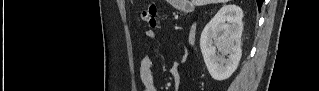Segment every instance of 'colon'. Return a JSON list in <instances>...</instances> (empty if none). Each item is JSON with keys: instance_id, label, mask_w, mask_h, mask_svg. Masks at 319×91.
I'll use <instances>...</instances> for the list:
<instances>
[{"instance_id": "1", "label": "colon", "mask_w": 319, "mask_h": 91, "mask_svg": "<svg viewBox=\"0 0 319 91\" xmlns=\"http://www.w3.org/2000/svg\"><path fill=\"white\" fill-rule=\"evenodd\" d=\"M156 12H157L156 5L150 4L147 8H145L142 11L141 19L150 27L156 28L157 27Z\"/></svg>"}]
</instances>
